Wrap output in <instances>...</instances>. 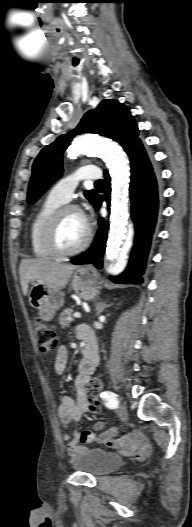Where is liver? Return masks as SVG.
Here are the masks:
<instances>
[{
	"mask_svg": "<svg viewBox=\"0 0 192 527\" xmlns=\"http://www.w3.org/2000/svg\"><path fill=\"white\" fill-rule=\"evenodd\" d=\"M77 266L46 259H23L19 266L22 292L27 295L30 281H37L54 291L66 287Z\"/></svg>",
	"mask_w": 192,
	"mask_h": 527,
	"instance_id": "6515ba94",
	"label": "liver"
}]
</instances>
